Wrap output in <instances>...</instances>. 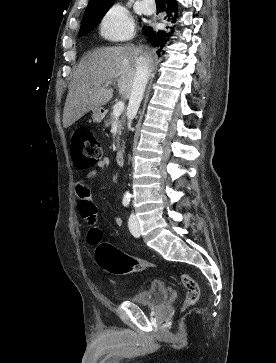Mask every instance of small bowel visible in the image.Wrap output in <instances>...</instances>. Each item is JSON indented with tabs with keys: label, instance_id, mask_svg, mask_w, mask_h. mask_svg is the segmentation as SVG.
I'll use <instances>...</instances> for the list:
<instances>
[{
	"label": "small bowel",
	"instance_id": "1",
	"mask_svg": "<svg viewBox=\"0 0 276 363\" xmlns=\"http://www.w3.org/2000/svg\"><path fill=\"white\" fill-rule=\"evenodd\" d=\"M108 165L109 159H102L95 165L94 169L87 174V177H94ZM76 197L78 199V211L80 216L89 223H92L97 216V209L92 201L90 188L86 183L79 182L76 185ZM115 224L117 226H122V219L120 217H116Z\"/></svg>",
	"mask_w": 276,
	"mask_h": 363
}]
</instances>
